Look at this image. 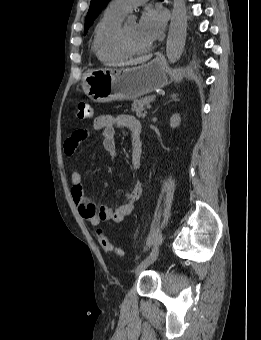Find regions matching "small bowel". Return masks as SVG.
<instances>
[{
	"label": "small bowel",
	"mask_w": 261,
	"mask_h": 340,
	"mask_svg": "<svg viewBox=\"0 0 261 340\" xmlns=\"http://www.w3.org/2000/svg\"><path fill=\"white\" fill-rule=\"evenodd\" d=\"M117 127L126 128L130 133L131 150L130 164L133 169H138L142 158V140L141 125L139 121L129 115H100L95 118L93 128L100 131L102 138V146L111 157H115L117 153L115 130ZM89 136L86 129H78L74 131L64 143V152L67 156H72L80 143ZM72 197L78 207L80 215L91 225L97 226L103 221L113 220L114 222H122L134 210L135 204L143 193V185L140 181H136L133 187L124 194V202L111 208L106 205H97L86 193L83 178L78 170H74L71 174Z\"/></svg>",
	"instance_id": "small-bowel-1"
}]
</instances>
